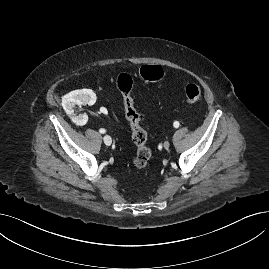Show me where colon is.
I'll return each instance as SVG.
<instances>
[{"mask_svg": "<svg viewBox=\"0 0 269 269\" xmlns=\"http://www.w3.org/2000/svg\"><path fill=\"white\" fill-rule=\"evenodd\" d=\"M140 76L147 81H158L163 77V70L156 65H147L141 68ZM116 87L121 94L125 117L130 125L132 140L136 146L133 157V165L139 170L147 167L151 158V150L147 146V133L141 126L142 116L136 110L132 97L133 80L126 73L120 74L116 79ZM185 96L190 103H197L201 99V89L195 84H188L185 88Z\"/></svg>", "mask_w": 269, "mask_h": 269, "instance_id": "obj_1", "label": "colon"}]
</instances>
